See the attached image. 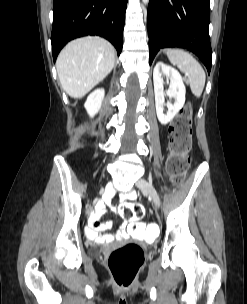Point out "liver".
Segmentation results:
<instances>
[{"mask_svg":"<svg viewBox=\"0 0 247 304\" xmlns=\"http://www.w3.org/2000/svg\"><path fill=\"white\" fill-rule=\"evenodd\" d=\"M115 57L114 47L101 37L71 41L56 61L62 88L69 96L82 98L111 72Z\"/></svg>","mask_w":247,"mask_h":304,"instance_id":"6515ba94","label":"liver"}]
</instances>
